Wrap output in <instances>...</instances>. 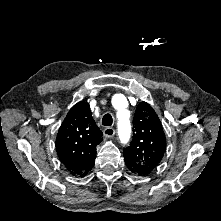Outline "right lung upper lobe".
<instances>
[{"label": "right lung upper lobe", "mask_w": 221, "mask_h": 221, "mask_svg": "<svg viewBox=\"0 0 221 221\" xmlns=\"http://www.w3.org/2000/svg\"><path fill=\"white\" fill-rule=\"evenodd\" d=\"M101 134L89 104H75L61 124L55 143L58 157L70 174L83 177L92 169Z\"/></svg>", "instance_id": "obj_1"}]
</instances>
